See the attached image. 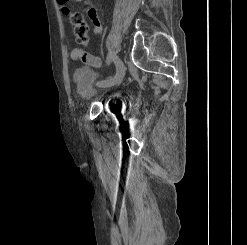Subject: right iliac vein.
<instances>
[{
  "label": "right iliac vein",
  "mask_w": 247,
  "mask_h": 245,
  "mask_svg": "<svg viewBox=\"0 0 247 245\" xmlns=\"http://www.w3.org/2000/svg\"><path fill=\"white\" fill-rule=\"evenodd\" d=\"M112 61L114 62L116 69H117L116 75L111 79L102 81L100 83V86H102V87L114 86V85L120 83L124 77L125 67H124V64L121 61V59L117 55L113 54Z\"/></svg>",
  "instance_id": "63e3f726"
}]
</instances>
